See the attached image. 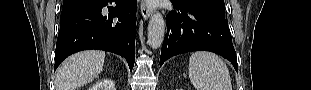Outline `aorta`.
Instances as JSON below:
<instances>
[{
	"label": "aorta",
	"mask_w": 311,
	"mask_h": 90,
	"mask_svg": "<svg viewBox=\"0 0 311 90\" xmlns=\"http://www.w3.org/2000/svg\"><path fill=\"white\" fill-rule=\"evenodd\" d=\"M165 22L163 16L156 12L151 16L148 24V44L153 49H158L164 40Z\"/></svg>",
	"instance_id": "1"
}]
</instances>
